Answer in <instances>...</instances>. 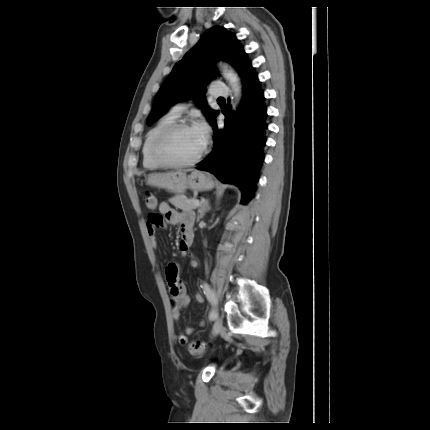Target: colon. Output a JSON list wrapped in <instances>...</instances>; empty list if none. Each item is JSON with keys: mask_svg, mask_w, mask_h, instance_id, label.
<instances>
[{"mask_svg": "<svg viewBox=\"0 0 430 430\" xmlns=\"http://www.w3.org/2000/svg\"><path fill=\"white\" fill-rule=\"evenodd\" d=\"M145 201H146V205L148 208L154 209L156 207V199L150 192L145 193ZM155 216H157V215H155ZM157 220H159L158 216H157ZM204 347L205 346H204L203 342L192 341L188 345V351L191 355H200L203 352Z\"/></svg>", "mask_w": 430, "mask_h": 430, "instance_id": "1", "label": "colon"}]
</instances>
